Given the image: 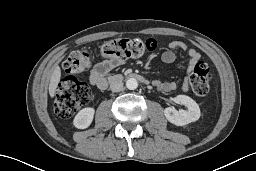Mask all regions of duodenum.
Wrapping results in <instances>:
<instances>
[{"instance_id":"duodenum-1","label":"duodenum","mask_w":256,"mask_h":171,"mask_svg":"<svg viewBox=\"0 0 256 171\" xmlns=\"http://www.w3.org/2000/svg\"><path fill=\"white\" fill-rule=\"evenodd\" d=\"M131 77H133L134 79L138 80V81H141V82H146V79L144 77H142L141 75H138V74H134L132 75ZM124 76L123 75H120V74H116V75H113L109 78L108 83H116V82H119L121 80H123Z\"/></svg>"}]
</instances>
